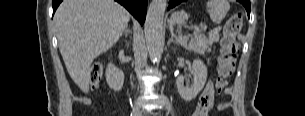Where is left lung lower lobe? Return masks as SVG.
I'll return each instance as SVG.
<instances>
[{
  "mask_svg": "<svg viewBox=\"0 0 305 116\" xmlns=\"http://www.w3.org/2000/svg\"><path fill=\"white\" fill-rule=\"evenodd\" d=\"M184 1L185 0H170L168 9L173 8L176 5H178L179 3L184 2ZM239 2H241L245 6L247 13L249 15L250 14V0H240Z\"/></svg>",
  "mask_w": 305,
  "mask_h": 116,
  "instance_id": "obj_1",
  "label": "left lung lower lobe"
}]
</instances>
